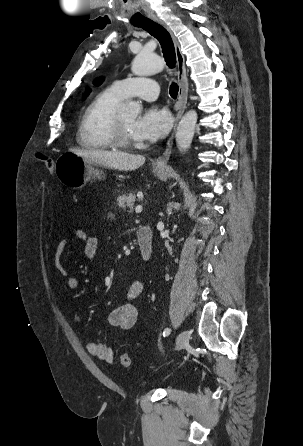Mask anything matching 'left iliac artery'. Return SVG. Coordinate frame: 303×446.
<instances>
[{"label":"left iliac artery","instance_id":"44dca946","mask_svg":"<svg viewBox=\"0 0 303 446\" xmlns=\"http://www.w3.org/2000/svg\"><path fill=\"white\" fill-rule=\"evenodd\" d=\"M171 333V329L170 328H165L163 331V336L166 337Z\"/></svg>","mask_w":303,"mask_h":446}]
</instances>
